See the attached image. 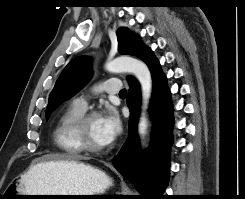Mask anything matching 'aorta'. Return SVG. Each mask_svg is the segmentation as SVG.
Masks as SVG:
<instances>
[{
	"instance_id": "1",
	"label": "aorta",
	"mask_w": 245,
	"mask_h": 199,
	"mask_svg": "<svg viewBox=\"0 0 245 199\" xmlns=\"http://www.w3.org/2000/svg\"><path fill=\"white\" fill-rule=\"evenodd\" d=\"M105 69L111 73H133L141 85L142 105L138 122V136L143 142L148 129V107L152 95V77L147 65L135 58L122 56L108 61Z\"/></svg>"
}]
</instances>
